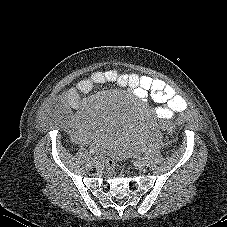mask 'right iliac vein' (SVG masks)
I'll return each mask as SVG.
<instances>
[{
	"label": "right iliac vein",
	"instance_id": "63e3f726",
	"mask_svg": "<svg viewBox=\"0 0 227 227\" xmlns=\"http://www.w3.org/2000/svg\"><path fill=\"white\" fill-rule=\"evenodd\" d=\"M94 166H95L96 168H99V167L101 166V162L98 161V160L94 161Z\"/></svg>",
	"mask_w": 227,
	"mask_h": 227
}]
</instances>
